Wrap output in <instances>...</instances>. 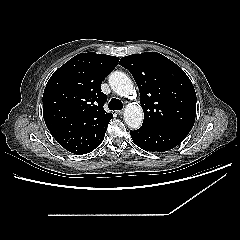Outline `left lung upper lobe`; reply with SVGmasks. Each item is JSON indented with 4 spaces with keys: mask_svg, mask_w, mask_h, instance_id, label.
Wrapping results in <instances>:
<instances>
[{
    "mask_svg": "<svg viewBox=\"0 0 240 240\" xmlns=\"http://www.w3.org/2000/svg\"><path fill=\"white\" fill-rule=\"evenodd\" d=\"M119 64L133 75L144 111L142 126L192 128L196 116V93L184 71L156 52L123 57Z\"/></svg>",
    "mask_w": 240,
    "mask_h": 240,
    "instance_id": "1",
    "label": "left lung upper lobe"
}]
</instances>
